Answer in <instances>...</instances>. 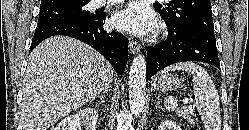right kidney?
<instances>
[{
  "label": "right kidney",
  "mask_w": 249,
  "mask_h": 130,
  "mask_svg": "<svg viewBox=\"0 0 249 130\" xmlns=\"http://www.w3.org/2000/svg\"><path fill=\"white\" fill-rule=\"evenodd\" d=\"M97 119V111L88 107L66 117L53 130H80L81 125H84L86 130H95Z\"/></svg>",
  "instance_id": "1"
}]
</instances>
